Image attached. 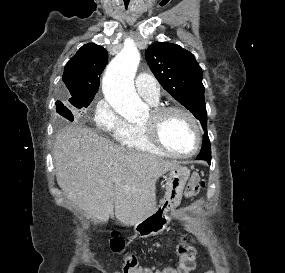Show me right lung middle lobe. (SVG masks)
Listing matches in <instances>:
<instances>
[{
    "mask_svg": "<svg viewBox=\"0 0 285 273\" xmlns=\"http://www.w3.org/2000/svg\"><path fill=\"white\" fill-rule=\"evenodd\" d=\"M93 99H88V100H80V101H70L69 102L75 106L76 108H82V107H88V105L90 104V102L92 101ZM56 111L61 115L63 116L64 118H66L67 120L69 121H73L74 120V117H73V114L71 113V111L66 108L62 102L60 101H57L56 102Z\"/></svg>",
    "mask_w": 285,
    "mask_h": 273,
    "instance_id": "obj_1",
    "label": "right lung middle lobe"
}]
</instances>
